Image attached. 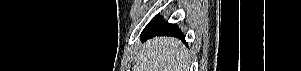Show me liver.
I'll return each mask as SVG.
<instances>
[{"label":"liver","mask_w":301,"mask_h":71,"mask_svg":"<svg viewBox=\"0 0 301 71\" xmlns=\"http://www.w3.org/2000/svg\"><path fill=\"white\" fill-rule=\"evenodd\" d=\"M189 54L180 40L155 37L146 41L135 56L134 71H188Z\"/></svg>","instance_id":"obj_1"}]
</instances>
